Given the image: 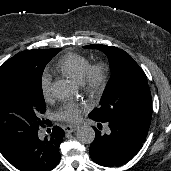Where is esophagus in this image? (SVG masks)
<instances>
[{
  "mask_svg": "<svg viewBox=\"0 0 171 171\" xmlns=\"http://www.w3.org/2000/svg\"><path fill=\"white\" fill-rule=\"evenodd\" d=\"M79 127L76 125H66L63 127L65 132H74L78 129Z\"/></svg>",
  "mask_w": 171,
  "mask_h": 171,
  "instance_id": "obj_1",
  "label": "esophagus"
}]
</instances>
